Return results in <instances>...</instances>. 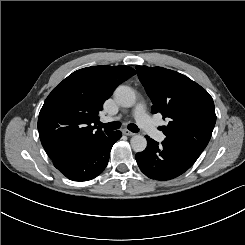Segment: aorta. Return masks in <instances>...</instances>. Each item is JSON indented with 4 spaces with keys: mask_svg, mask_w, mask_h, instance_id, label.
<instances>
[{
    "mask_svg": "<svg viewBox=\"0 0 245 245\" xmlns=\"http://www.w3.org/2000/svg\"><path fill=\"white\" fill-rule=\"evenodd\" d=\"M116 102L122 107H132L136 103L134 90L129 86H119L114 92ZM131 147L135 152H142L147 147V140L142 135H134L131 140Z\"/></svg>",
    "mask_w": 245,
    "mask_h": 245,
    "instance_id": "762f6f07",
    "label": "aorta"
}]
</instances>
